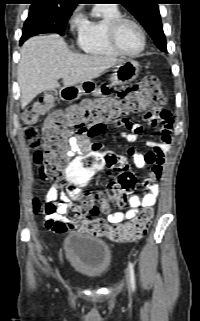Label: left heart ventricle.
<instances>
[{"instance_id":"1","label":"left heart ventricle","mask_w":200,"mask_h":321,"mask_svg":"<svg viewBox=\"0 0 200 321\" xmlns=\"http://www.w3.org/2000/svg\"><path fill=\"white\" fill-rule=\"evenodd\" d=\"M118 43L127 52H136L142 46L138 29L131 23H123L118 31Z\"/></svg>"}]
</instances>
